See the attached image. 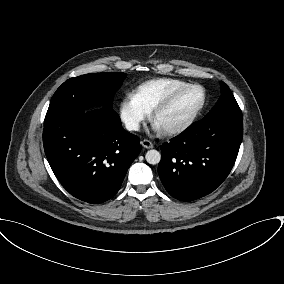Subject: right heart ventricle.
Masks as SVG:
<instances>
[{"label":"right heart ventricle","instance_id":"1","mask_svg":"<svg viewBox=\"0 0 284 284\" xmlns=\"http://www.w3.org/2000/svg\"><path fill=\"white\" fill-rule=\"evenodd\" d=\"M186 84V81L175 78L152 79L141 83L134 95L148 112H152L167 96Z\"/></svg>","mask_w":284,"mask_h":284}]
</instances>
